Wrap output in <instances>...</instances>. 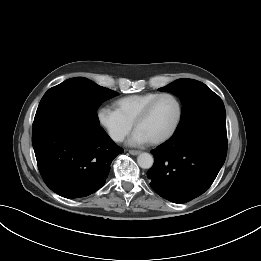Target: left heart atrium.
Wrapping results in <instances>:
<instances>
[{"mask_svg":"<svg viewBox=\"0 0 261 261\" xmlns=\"http://www.w3.org/2000/svg\"><path fill=\"white\" fill-rule=\"evenodd\" d=\"M149 142L150 140L141 131L135 130L128 139L127 143L131 146H141Z\"/></svg>","mask_w":261,"mask_h":261,"instance_id":"obj_1","label":"left heart atrium"}]
</instances>
